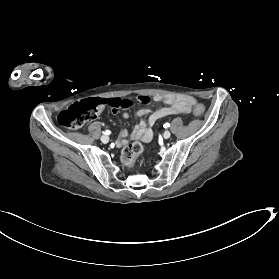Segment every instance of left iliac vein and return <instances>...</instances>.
<instances>
[{
    "mask_svg": "<svg viewBox=\"0 0 279 279\" xmlns=\"http://www.w3.org/2000/svg\"><path fill=\"white\" fill-rule=\"evenodd\" d=\"M170 136H171V133H170V131H168V130H166V131L163 133V137H164L165 139H168Z\"/></svg>",
    "mask_w": 279,
    "mask_h": 279,
    "instance_id": "1",
    "label": "left iliac vein"
}]
</instances>
